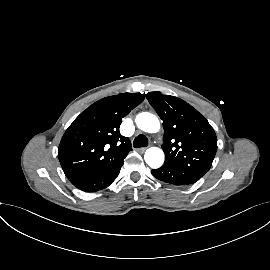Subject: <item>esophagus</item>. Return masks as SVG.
Returning <instances> with one entry per match:
<instances>
[{"label": "esophagus", "mask_w": 270, "mask_h": 270, "mask_svg": "<svg viewBox=\"0 0 270 270\" xmlns=\"http://www.w3.org/2000/svg\"><path fill=\"white\" fill-rule=\"evenodd\" d=\"M137 151L140 153H144L146 151V148H138Z\"/></svg>", "instance_id": "esophagus-1"}]
</instances>
